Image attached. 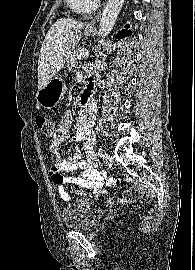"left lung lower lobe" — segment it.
I'll return each mask as SVG.
<instances>
[{"mask_svg": "<svg viewBox=\"0 0 195 270\" xmlns=\"http://www.w3.org/2000/svg\"><path fill=\"white\" fill-rule=\"evenodd\" d=\"M126 27H128V26H126ZM131 34H132V32H131L130 30H123V31H120V32L116 35V37L124 38V37H126V36L131 35Z\"/></svg>", "mask_w": 195, "mask_h": 270, "instance_id": "left-lung-lower-lobe-1", "label": "left lung lower lobe"}]
</instances>
